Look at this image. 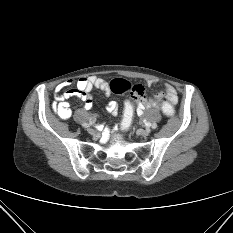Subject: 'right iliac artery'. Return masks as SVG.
<instances>
[{"label": "right iliac artery", "instance_id": "obj_1", "mask_svg": "<svg viewBox=\"0 0 233 233\" xmlns=\"http://www.w3.org/2000/svg\"><path fill=\"white\" fill-rule=\"evenodd\" d=\"M83 127L88 128L90 125L87 123L82 124Z\"/></svg>", "mask_w": 233, "mask_h": 233}]
</instances>
